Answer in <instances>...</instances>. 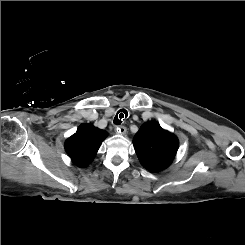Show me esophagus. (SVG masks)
Returning a JSON list of instances; mask_svg holds the SVG:
<instances>
[{
    "label": "esophagus",
    "instance_id": "1",
    "mask_svg": "<svg viewBox=\"0 0 245 245\" xmlns=\"http://www.w3.org/2000/svg\"><path fill=\"white\" fill-rule=\"evenodd\" d=\"M116 132L121 135H125L127 132V128L125 126H117Z\"/></svg>",
    "mask_w": 245,
    "mask_h": 245
}]
</instances>
